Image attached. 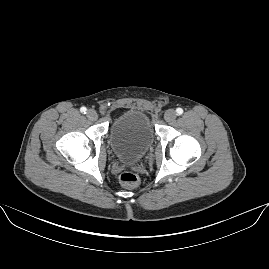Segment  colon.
Returning <instances> with one entry per match:
<instances>
[{
    "label": "colon",
    "instance_id": "5ec220e1",
    "mask_svg": "<svg viewBox=\"0 0 269 269\" xmlns=\"http://www.w3.org/2000/svg\"><path fill=\"white\" fill-rule=\"evenodd\" d=\"M120 183L131 189H138L141 186V179L131 171H124L119 176Z\"/></svg>",
    "mask_w": 269,
    "mask_h": 269
}]
</instances>
